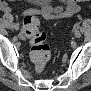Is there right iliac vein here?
Returning a JSON list of instances; mask_svg holds the SVG:
<instances>
[{
    "label": "right iliac vein",
    "instance_id": "right-iliac-vein-1",
    "mask_svg": "<svg viewBox=\"0 0 91 91\" xmlns=\"http://www.w3.org/2000/svg\"><path fill=\"white\" fill-rule=\"evenodd\" d=\"M13 28H14L15 30H18V29H19V24H18V23L14 24V25H13Z\"/></svg>",
    "mask_w": 91,
    "mask_h": 91
}]
</instances>
